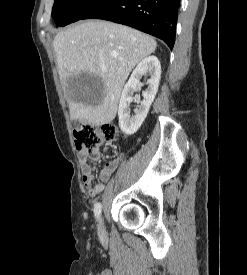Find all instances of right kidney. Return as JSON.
I'll return each mask as SVG.
<instances>
[{"mask_svg":"<svg viewBox=\"0 0 247 275\" xmlns=\"http://www.w3.org/2000/svg\"><path fill=\"white\" fill-rule=\"evenodd\" d=\"M147 75L150 78L146 82L148 87L143 92L144 99L135 109V115L130 116V104L134 100L133 94L142 85L141 77ZM160 77L161 66L156 56L144 58L132 72L124 86L118 107L119 126L125 134L132 135L141 127L158 91Z\"/></svg>","mask_w":247,"mask_h":275,"instance_id":"right-kidney-1","label":"right kidney"}]
</instances>
